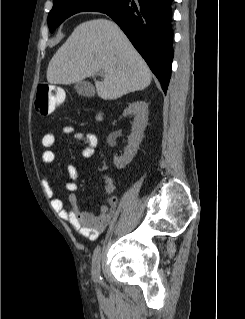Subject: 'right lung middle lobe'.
<instances>
[{"label":"right lung middle lobe","mask_w":245,"mask_h":319,"mask_svg":"<svg viewBox=\"0 0 245 319\" xmlns=\"http://www.w3.org/2000/svg\"><path fill=\"white\" fill-rule=\"evenodd\" d=\"M123 0H54L48 16V26L53 32L65 19L83 11L106 13L116 9Z\"/></svg>","instance_id":"1"}]
</instances>
